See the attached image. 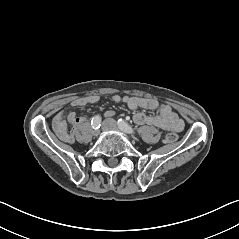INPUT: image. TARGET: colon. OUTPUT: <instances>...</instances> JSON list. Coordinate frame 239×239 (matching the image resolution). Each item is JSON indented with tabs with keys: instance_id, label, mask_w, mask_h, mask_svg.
Masks as SVG:
<instances>
[{
	"instance_id": "obj_1",
	"label": "colon",
	"mask_w": 239,
	"mask_h": 239,
	"mask_svg": "<svg viewBox=\"0 0 239 239\" xmlns=\"http://www.w3.org/2000/svg\"><path fill=\"white\" fill-rule=\"evenodd\" d=\"M177 139V135L175 133H169L164 137V143H173Z\"/></svg>"
}]
</instances>
